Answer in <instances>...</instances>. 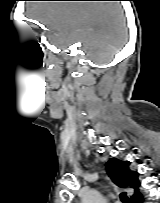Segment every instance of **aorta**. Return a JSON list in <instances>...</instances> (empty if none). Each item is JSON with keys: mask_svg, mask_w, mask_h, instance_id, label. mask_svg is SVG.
<instances>
[{"mask_svg": "<svg viewBox=\"0 0 160 203\" xmlns=\"http://www.w3.org/2000/svg\"><path fill=\"white\" fill-rule=\"evenodd\" d=\"M82 203H105V199L97 190H89L83 194Z\"/></svg>", "mask_w": 160, "mask_h": 203, "instance_id": "aorta-1", "label": "aorta"}]
</instances>
